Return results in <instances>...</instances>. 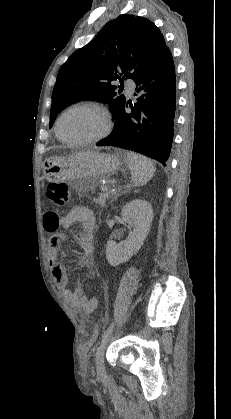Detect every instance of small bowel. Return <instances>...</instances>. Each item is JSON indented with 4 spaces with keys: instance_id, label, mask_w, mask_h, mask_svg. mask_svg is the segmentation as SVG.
<instances>
[{
    "instance_id": "obj_1",
    "label": "small bowel",
    "mask_w": 231,
    "mask_h": 419,
    "mask_svg": "<svg viewBox=\"0 0 231 419\" xmlns=\"http://www.w3.org/2000/svg\"><path fill=\"white\" fill-rule=\"evenodd\" d=\"M77 223L80 224L81 231L75 236V241L83 250L84 256L81 261L83 265L87 266L90 264L94 250L95 217L93 212L85 207H76L63 217H58L55 213H48L43 217L45 230L52 233L48 243V262L54 281L79 315H90L98 308V300L95 297L85 296L80 285L74 289L67 288L66 268L59 262L60 244L64 240V235L57 232V229L59 227L67 229Z\"/></svg>"
}]
</instances>
